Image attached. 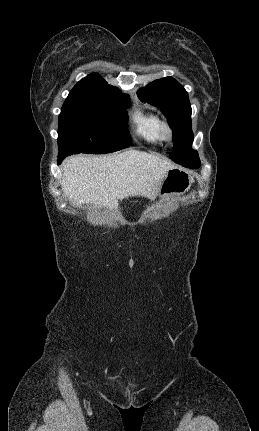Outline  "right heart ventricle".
<instances>
[{"mask_svg":"<svg viewBox=\"0 0 259 431\" xmlns=\"http://www.w3.org/2000/svg\"><path fill=\"white\" fill-rule=\"evenodd\" d=\"M132 121L137 136L149 143H156L160 140L159 125L161 120L156 114L138 108L133 113Z\"/></svg>","mask_w":259,"mask_h":431,"instance_id":"1","label":"right heart ventricle"}]
</instances>
